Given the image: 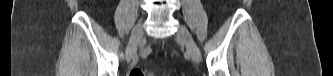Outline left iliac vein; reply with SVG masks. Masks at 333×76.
Here are the masks:
<instances>
[{
    "label": "left iliac vein",
    "instance_id": "4c4485c4",
    "mask_svg": "<svg viewBox=\"0 0 333 76\" xmlns=\"http://www.w3.org/2000/svg\"><path fill=\"white\" fill-rule=\"evenodd\" d=\"M177 37L183 41L187 52L192 57L193 61L199 63L201 60V53L190 32L184 26H179Z\"/></svg>",
    "mask_w": 333,
    "mask_h": 76
}]
</instances>
